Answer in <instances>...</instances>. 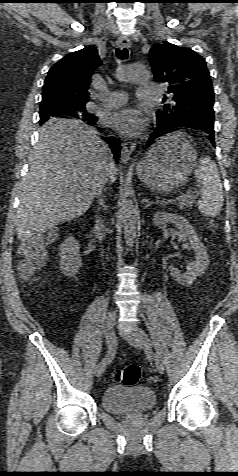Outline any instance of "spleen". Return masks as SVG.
Masks as SVG:
<instances>
[{"mask_svg":"<svg viewBox=\"0 0 238 476\" xmlns=\"http://www.w3.org/2000/svg\"><path fill=\"white\" fill-rule=\"evenodd\" d=\"M195 177L201 184V199L198 209L208 217H216L223 206V189L216 164L207 156L200 158Z\"/></svg>","mask_w":238,"mask_h":476,"instance_id":"1","label":"spleen"}]
</instances>
